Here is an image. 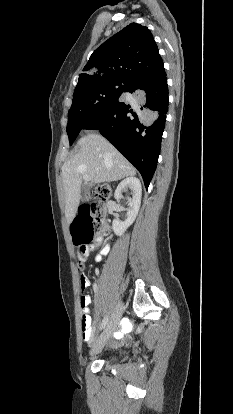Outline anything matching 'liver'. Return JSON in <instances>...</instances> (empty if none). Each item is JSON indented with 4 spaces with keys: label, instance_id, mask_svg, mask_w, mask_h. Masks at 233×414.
I'll return each instance as SVG.
<instances>
[{
    "label": "liver",
    "instance_id": "1",
    "mask_svg": "<svg viewBox=\"0 0 233 414\" xmlns=\"http://www.w3.org/2000/svg\"><path fill=\"white\" fill-rule=\"evenodd\" d=\"M77 144L79 150L61 169L68 223L76 216L83 181L96 184L136 175V169L100 134L89 133Z\"/></svg>",
    "mask_w": 233,
    "mask_h": 414
}]
</instances>
